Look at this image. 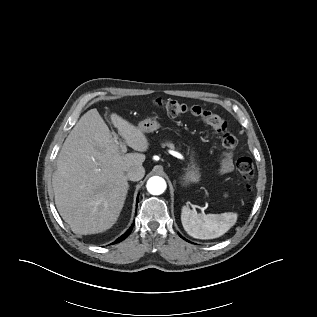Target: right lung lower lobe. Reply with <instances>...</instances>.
<instances>
[{
	"label": "right lung lower lobe",
	"mask_w": 317,
	"mask_h": 317,
	"mask_svg": "<svg viewBox=\"0 0 317 317\" xmlns=\"http://www.w3.org/2000/svg\"><path fill=\"white\" fill-rule=\"evenodd\" d=\"M133 225L134 224H132V227H130L129 230L126 233H124L121 237H119L114 243H118V242H121L122 240H124L131 233V231L133 229ZM114 243H112V244H114Z\"/></svg>",
	"instance_id": "right-lung-lower-lobe-1"
}]
</instances>
